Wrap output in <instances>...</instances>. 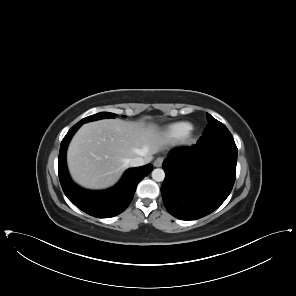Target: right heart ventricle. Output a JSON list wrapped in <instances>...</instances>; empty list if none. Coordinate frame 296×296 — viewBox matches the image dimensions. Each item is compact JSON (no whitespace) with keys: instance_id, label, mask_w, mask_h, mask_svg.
<instances>
[{"instance_id":"obj_1","label":"right heart ventricle","mask_w":296,"mask_h":296,"mask_svg":"<svg viewBox=\"0 0 296 296\" xmlns=\"http://www.w3.org/2000/svg\"><path fill=\"white\" fill-rule=\"evenodd\" d=\"M192 125L187 122H177L171 124L166 129V135L172 140L185 138L191 131Z\"/></svg>"}]
</instances>
